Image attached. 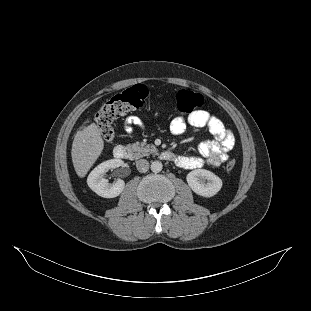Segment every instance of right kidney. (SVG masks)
Masks as SVG:
<instances>
[{
  "label": "right kidney",
  "mask_w": 311,
  "mask_h": 311,
  "mask_svg": "<svg viewBox=\"0 0 311 311\" xmlns=\"http://www.w3.org/2000/svg\"><path fill=\"white\" fill-rule=\"evenodd\" d=\"M124 164L121 159L107 160L95 167L87 178V184L96 194L104 198H114L120 195L125 187V182L118 179L115 183H108L103 175L111 168H117Z\"/></svg>",
  "instance_id": "ca27d5eb"
}]
</instances>
